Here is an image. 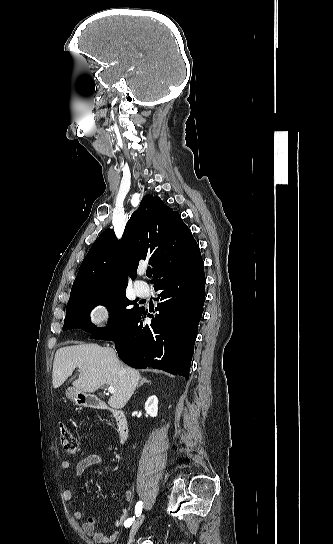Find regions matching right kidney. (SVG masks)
<instances>
[{
  "mask_svg": "<svg viewBox=\"0 0 333 544\" xmlns=\"http://www.w3.org/2000/svg\"><path fill=\"white\" fill-rule=\"evenodd\" d=\"M144 408L151 417H156L158 414V398L156 396H150L147 399Z\"/></svg>",
  "mask_w": 333,
  "mask_h": 544,
  "instance_id": "ca27d5eb",
  "label": "right kidney"
}]
</instances>
